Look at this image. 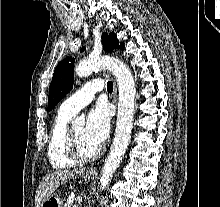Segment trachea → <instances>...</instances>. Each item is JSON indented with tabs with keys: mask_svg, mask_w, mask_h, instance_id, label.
<instances>
[{
	"mask_svg": "<svg viewBox=\"0 0 220 207\" xmlns=\"http://www.w3.org/2000/svg\"><path fill=\"white\" fill-rule=\"evenodd\" d=\"M107 91L112 92L113 91V82L108 81L107 82Z\"/></svg>",
	"mask_w": 220,
	"mask_h": 207,
	"instance_id": "3493384b",
	"label": "trachea"
}]
</instances>
